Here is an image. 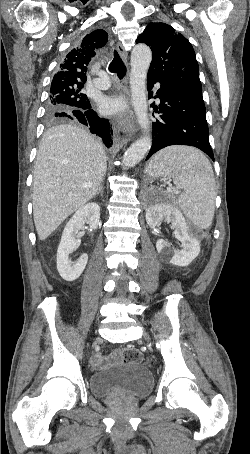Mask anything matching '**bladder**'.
I'll list each match as a JSON object with an SVG mask.
<instances>
[{"label":"bladder","mask_w":250,"mask_h":454,"mask_svg":"<svg viewBox=\"0 0 250 454\" xmlns=\"http://www.w3.org/2000/svg\"><path fill=\"white\" fill-rule=\"evenodd\" d=\"M153 388L151 372L134 362H122L94 372L89 377V389L99 399H141Z\"/></svg>","instance_id":"31cf9c89"}]
</instances>
